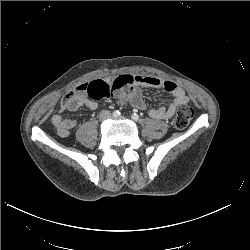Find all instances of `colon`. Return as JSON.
Listing matches in <instances>:
<instances>
[{
  "label": "colon",
  "mask_w": 250,
  "mask_h": 250,
  "mask_svg": "<svg viewBox=\"0 0 250 250\" xmlns=\"http://www.w3.org/2000/svg\"><path fill=\"white\" fill-rule=\"evenodd\" d=\"M87 94L94 100L108 99L112 95L113 88L104 79H99L90 82L86 87ZM75 99V93H68L63 102L67 105L73 102ZM193 109L189 106H181L177 109L174 125L178 129H184L188 126L193 118Z\"/></svg>",
  "instance_id": "1"
}]
</instances>
